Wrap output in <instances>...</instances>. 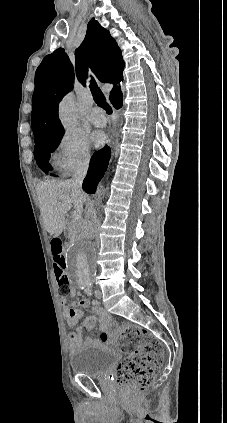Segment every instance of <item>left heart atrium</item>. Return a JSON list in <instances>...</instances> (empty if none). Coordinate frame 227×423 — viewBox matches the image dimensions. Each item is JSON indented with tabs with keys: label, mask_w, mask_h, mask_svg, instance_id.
<instances>
[{
	"label": "left heart atrium",
	"mask_w": 227,
	"mask_h": 423,
	"mask_svg": "<svg viewBox=\"0 0 227 423\" xmlns=\"http://www.w3.org/2000/svg\"><path fill=\"white\" fill-rule=\"evenodd\" d=\"M92 142L96 148H99L106 142V135L101 131H96L92 135Z\"/></svg>",
	"instance_id": "1"
}]
</instances>
